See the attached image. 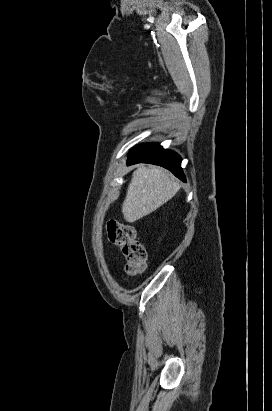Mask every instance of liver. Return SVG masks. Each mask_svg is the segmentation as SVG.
<instances>
[{"label": "liver", "instance_id": "6515ba94", "mask_svg": "<svg viewBox=\"0 0 272 411\" xmlns=\"http://www.w3.org/2000/svg\"><path fill=\"white\" fill-rule=\"evenodd\" d=\"M179 183L157 166H139L132 175L122 204L124 219L135 222L164 205L179 190Z\"/></svg>", "mask_w": 272, "mask_h": 411}]
</instances>
